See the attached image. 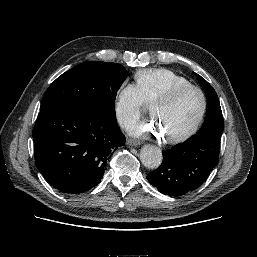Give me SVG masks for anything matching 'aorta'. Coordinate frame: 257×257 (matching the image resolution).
<instances>
[{"instance_id":"obj_1","label":"aorta","mask_w":257,"mask_h":257,"mask_svg":"<svg viewBox=\"0 0 257 257\" xmlns=\"http://www.w3.org/2000/svg\"><path fill=\"white\" fill-rule=\"evenodd\" d=\"M142 164L148 169H156L162 162L160 149L152 145H145L140 152Z\"/></svg>"}]
</instances>
